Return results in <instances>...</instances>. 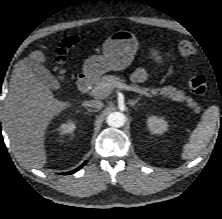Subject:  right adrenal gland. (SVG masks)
Returning a JSON list of instances; mask_svg holds the SVG:
<instances>
[{
    "mask_svg": "<svg viewBox=\"0 0 222 219\" xmlns=\"http://www.w3.org/2000/svg\"><path fill=\"white\" fill-rule=\"evenodd\" d=\"M88 110V112H96V110L90 109V108H86Z\"/></svg>",
    "mask_w": 222,
    "mask_h": 219,
    "instance_id": "obj_1",
    "label": "right adrenal gland"
}]
</instances>
